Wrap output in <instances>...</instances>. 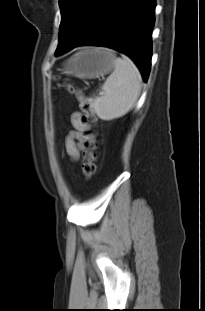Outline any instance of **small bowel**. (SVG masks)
Returning a JSON list of instances; mask_svg holds the SVG:
<instances>
[{
  "label": "small bowel",
  "instance_id": "obj_1",
  "mask_svg": "<svg viewBox=\"0 0 205 311\" xmlns=\"http://www.w3.org/2000/svg\"><path fill=\"white\" fill-rule=\"evenodd\" d=\"M70 121L73 126V130L69 132L65 139V148L67 154L77 159L80 156V152L85 142V131L87 128L82 123V115L79 112H74L70 116Z\"/></svg>",
  "mask_w": 205,
  "mask_h": 311
}]
</instances>
